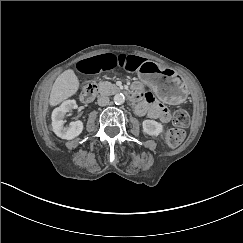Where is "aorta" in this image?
Masks as SVG:
<instances>
[{
    "instance_id": "obj_1",
    "label": "aorta",
    "mask_w": 243,
    "mask_h": 243,
    "mask_svg": "<svg viewBox=\"0 0 243 243\" xmlns=\"http://www.w3.org/2000/svg\"><path fill=\"white\" fill-rule=\"evenodd\" d=\"M113 101L117 105H121L125 102V95L123 93H117L113 97Z\"/></svg>"
}]
</instances>
